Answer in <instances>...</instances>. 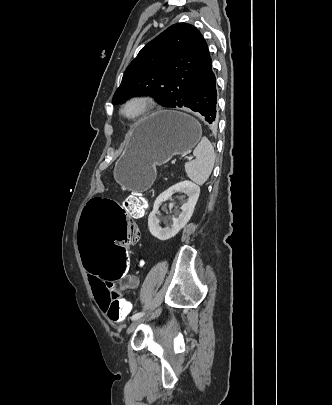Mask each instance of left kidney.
<instances>
[{
	"mask_svg": "<svg viewBox=\"0 0 332 405\" xmlns=\"http://www.w3.org/2000/svg\"><path fill=\"white\" fill-rule=\"evenodd\" d=\"M176 192H181L187 195V201L181 206V213L178 218L172 217V225L162 228L160 226L161 215L159 212L160 205L170 200ZM200 188L190 181H182L168 188L161 193L155 200L153 210L148 217V228L150 233L161 241L168 240L174 237L190 220L197 200L199 198ZM174 207L173 203H169V209Z\"/></svg>",
	"mask_w": 332,
	"mask_h": 405,
	"instance_id": "1",
	"label": "left kidney"
}]
</instances>
